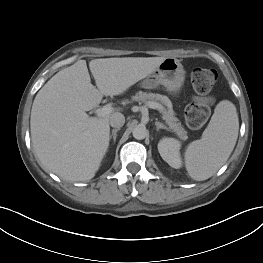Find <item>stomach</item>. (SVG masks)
Segmentation results:
<instances>
[{
  "mask_svg": "<svg viewBox=\"0 0 263 263\" xmlns=\"http://www.w3.org/2000/svg\"><path fill=\"white\" fill-rule=\"evenodd\" d=\"M185 80V70L180 61L174 57L165 58L156 70L141 83L146 89L162 85L167 91L177 93L181 90Z\"/></svg>",
  "mask_w": 263,
  "mask_h": 263,
  "instance_id": "obj_1",
  "label": "stomach"
}]
</instances>
